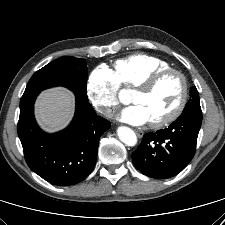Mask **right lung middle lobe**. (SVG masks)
Instances as JSON below:
<instances>
[{
  "instance_id": "right-lung-middle-lobe-1",
  "label": "right lung middle lobe",
  "mask_w": 225,
  "mask_h": 225,
  "mask_svg": "<svg viewBox=\"0 0 225 225\" xmlns=\"http://www.w3.org/2000/svg\"><path fill=\"white\" fill-rule=\"evenodd\" d=\"M87 76L84 59L64 56L34 73L23 95L39 93L43 89L60 85L71 89L76 98L88 101L86 91Z\"/></svg>"
}]
</instances>
